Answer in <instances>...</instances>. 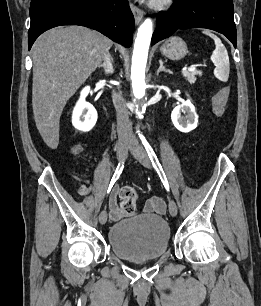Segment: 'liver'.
<instances>
[{"label":"liver","instance_id":"6515ba94","mask_svg":"<svg viewBox=\"0 0 261 306\" xmlns=\"http://www.w3.org/2000/svg\"><path fill=\"white\" fill-rule=\"evenodd\" d=\"M112 41L82 26L53 28L32 47V108L36 127L51 149L67 101L109 55Z\"/></svg>","mask_w":261,"mask_h":306}]
</instances>
